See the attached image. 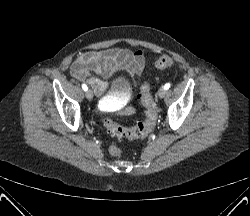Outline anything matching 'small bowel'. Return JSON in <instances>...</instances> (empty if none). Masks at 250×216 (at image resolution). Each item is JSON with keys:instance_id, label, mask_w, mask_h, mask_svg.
Masks as SVG:
<instances>
[{"instance_id": "obj_1", "label": "small bowel", "mask_w": 250, "mask_h": 216, "mask_svg": "<svg viewBox=\"0 0 250 216\" xmlns=\"http://www.w3.org/2000/svg\"><path fill=\"white\" fill-rule=\"evenodd\" d=\"M145 53L142 50L130 51L122 48H110L100 51L84 52L73 62L70 72L78 81L86 82L97 95L108 88L110 78L124 72L136 84L144 70Z\"/></svg>"}]
</instances>
